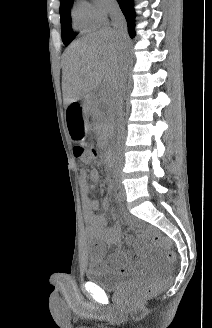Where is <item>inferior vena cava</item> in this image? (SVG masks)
<instances>
[{
	"label": "inferior vena cava",
	"mask_w": 212,
	"mask_h": 328,
	"mask_svg": "<svg viewBox=\"0 0 212 328\" xmlns=\"http://www.w3.org/2000/svg\"><path fill=\"white\" fill-rule=\"evenodd\" d=\"M109 14L112 20V25L115 34L121 39H125L127 36L126 20L117 4H112L109 9ZM125 95V76L121 71L115 81L113 91L111 93L112 108L115 115V123L117 126V145L123 144L125 123L123 118V98ZM122 156L118 157L117 165L115 166L116 177L123 175L124 163Z\"/></svg>",
	"instance_id": "602c4592"
}]
</instances>
